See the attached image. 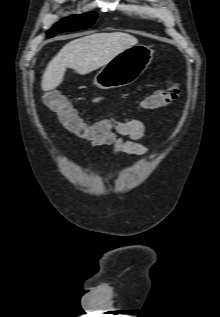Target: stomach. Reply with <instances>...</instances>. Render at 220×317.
<instances>
[{
    "mask_svg": "<svg viewBox=\"0 0 220 317\" xmlns=\"http://www.w3.org/2000/svg\"><path fill=\"white\" fill-rule=\"evenodd\" d=\"M153 51L145 45H134L115 56L95 75L94 84L101 89L130 85L148 68Z\"/></svg>",
    "mask_w": 220,
    "mask_h": 317,
    "instance_id": "obj_1",
    "label": "stomach"
}]
</instances>
